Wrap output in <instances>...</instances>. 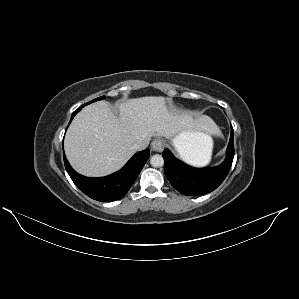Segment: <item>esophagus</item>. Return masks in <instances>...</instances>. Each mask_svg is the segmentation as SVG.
Returning a JSON list of instances; mask_svg holds the SVG:
<instances>
[{
  "mask_svg": "<svg viewBox=\"0 0 299 299\" xmlns=\"http://www.w3.org/2000/svg\"><path fill=\"white\" fill-rule=\"evenodd\" d=\"M152 150L155 152H161L164 148V141L160 138L153 140L151 144Z\"/></svg>",
  "mask_w": 299,
  "mask_h": 299,
  "instance_id": "obj_1",
  "label": "esophagus"
}]
</instances>
